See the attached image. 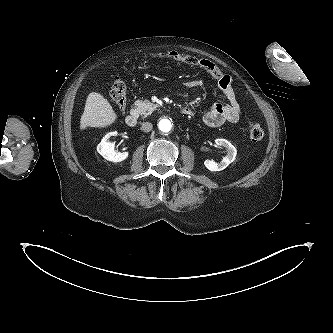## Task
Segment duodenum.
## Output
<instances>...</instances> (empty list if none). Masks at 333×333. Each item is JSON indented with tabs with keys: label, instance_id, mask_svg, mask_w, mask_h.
<instances>
[{
	"label": "duodenum",
	"instance_id": "duodenum-1",
	"mask_svg": "<svg viewBox=\"0 0 333 333\" xmlns=\"http://www.w3.org/2000/svg\"><path fill=\"white\" fill-rule=\"evenodd\" d=\"M138 121L137 114L135 112L129 113L126 118L125 122L129 127H135Z\"/></svg>",
	"mask_w": 333,
	"mask_h": 333
}]
</instances>
